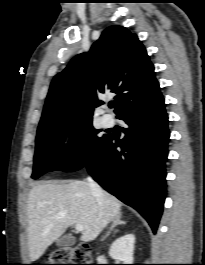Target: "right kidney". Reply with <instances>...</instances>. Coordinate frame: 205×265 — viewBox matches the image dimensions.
<instances>
[{"label": "right kidney", "instance_id": "1", "mask_svg": "<svg viewBox=\"0 0 205 265\" xmlns=\"http://www.w3.org/2000/svg\"><path fill=\"white\" fill-rule=\"evenodd\" d=\"M135 236L126 234L116 239L110 246L109 255L122 264H133Z\"/></svg>", "mask_w": 205, "mask_h": 265}]
</instances>
